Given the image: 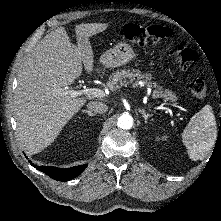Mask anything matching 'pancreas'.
Here are the masks:
<instances>
[{
	"mask_svg": "<svg viewBox=\"0 0 221 221\" xmlns=\"http://www.w3.org/2000/svg\"><path fill=\"white\" fill-rule=\"evenodd\" d=\"M142 79L146 84H150L151 75L147 73L142 74L139 70L135 69L133 70L123 69L120 71L118 70L113 74V76L110 77V81L108 82V87L111 91H115L121 88V86H123L124 83L132 84L134 87H137L139 85L138 82ZM154 86L156 87V89L153 91L152 94L154 98L163 97L165 101L177 100L176 95L172 91L168 89L163 90L161 87H157L156 84H154Z\"/></svg>",
	"mask_w": 221,
	"mask_h": 221,
	"instance_id": "pancreas-1",
	"label": "pancreas"
}]
</instances>
